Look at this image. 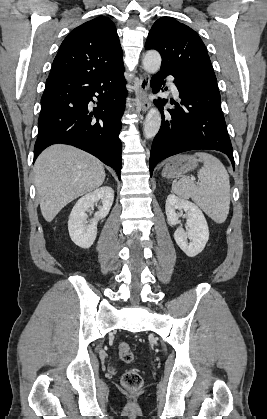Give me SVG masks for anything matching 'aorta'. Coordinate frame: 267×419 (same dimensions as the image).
Wrapping results in <instances>:
<instances>
[{
  "instance_id": "762f6f07",
  "label": "aorta",
  "mask_w": 267,
  "mask_h": 419,
  "mask_svg": "<svg viewBox=\"0 0 267 419\" xmlns=\"http://www.w3.org/2000/svg\"><path fill=\"white\" fill-rule=\"evenodd\" d=\"M143 68L148 73H156L161 66V56L155 51H148L142 61ZM161 126V114L156 108H151L144 121L143 133L146 139L153 138L159 131Z\"/></svg>"
}]
</instances>
